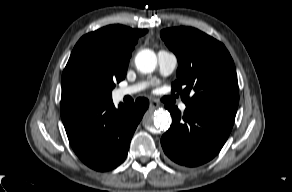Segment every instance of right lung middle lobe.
I'll return each mask as SVG.
<instances>
[{
  "label": "right lung middle lobe",
  "mask_w": 292,
  "mask_h": 192,
  "mask_svg": "<svg viewBox=\"0 0 292 192\" xmlns=\"http://www.w3.org/2000/svg\"><path fill=\"white\" fill-rule=\"evenodd\" d=\"M124 78L101 65L90 54L73 50L62 74L61 102H110L115 83Z\"/></svg>",
  "instance_id": "1"
}]
</instances>
